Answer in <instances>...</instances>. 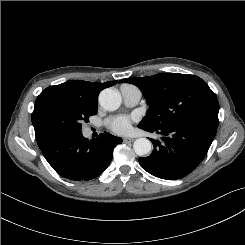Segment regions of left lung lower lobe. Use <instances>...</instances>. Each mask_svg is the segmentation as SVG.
I'll use <instances>...</instances> for the list:
<instances>
[{
  "mask_svg": "<svg viewBox=\"0 0 245 245\" xmlns=\"http://www.w3.org/2000/svg\"><path fill=\"white\" fill-rule=\"evenodd\" d=\"M141 129L162 136V142L152 140L154 150L150 156L139 158L141 167L167 180L180 179L192 172L206 156L217 131V127L193 120L159 129Z\"/></svg>",
  "mask_w": 245,
  "mask_h": 245,
  "instance_id": "left-lung-lower-lobe-1",
  "label": "left lung lower lobe"
}]
</instances>
